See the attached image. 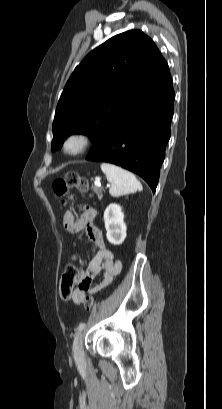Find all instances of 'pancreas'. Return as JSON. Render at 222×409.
<instances>
[{
  "label": "pancreas",
  "mask_w": 222,
  "mask_h": 409,
  "mask_svg": "<svg viewBox=\"0 0 222 409\" xmlns=\"http://www.w3.org/2000/svg\"><path fill=\"white\" fill-rule=\"evenodd\" d=\"M91 189L93 190V192H94L95 194L98 195V198H99V199L102 198V191H103L102 189L97 188V187H95V186H93V185H92Z\"/></svg>",
  "instance_id": "cf45deb5"
}]
</instances>
